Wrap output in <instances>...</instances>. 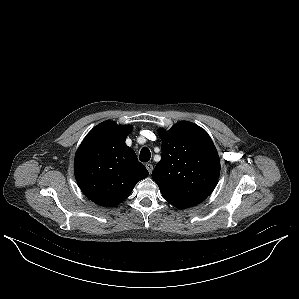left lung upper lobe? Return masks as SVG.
I'll use <instances>...</instances> for the list:
<instances>
[{
    "mask_svg": "<svg viewBox=\"0 0 299 299\" xmlns=\"http://www.w3.org/2000/svg\"><path fill=\"white\" fill-rule=\"evenodd\" d=\"M162 157L152 172L166 201L188 208L204 201L220 175L217 150L207 132L191 122L159 130Z\"/></svg>",
    "mask_w": 299,
    "mask_h": 299,
    "instance_id": "1",
    "label": "left lung upper lobe"
}]
</instances>
